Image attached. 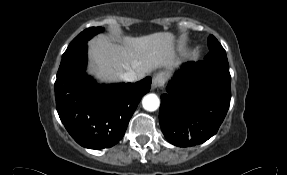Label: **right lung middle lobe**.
I'll return each instance as SVG.
<instances>
[{"label":"right lung middle lobe","mask_w":287,"mask_h":175,"mask_svg":"<svg viewBox=\"0 0 287 175\" xmlns=\"http://www.w3.org/2000/svg\"><path fill=\"white\" fill-rule=\"evenodd\" d=\"M103 31L102 27H90L87 28L86 30H84L83 32H81L77 37L74 38V40L69 44L67 50L82 44L83 42H85L86 40H89L90 38H92L95 34L99 33ZM66 50V51H67Z\"/></svg>","instance_id":"1"}]
</instances>
